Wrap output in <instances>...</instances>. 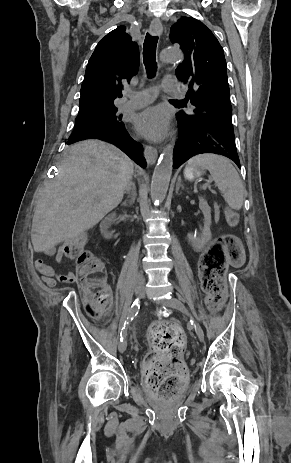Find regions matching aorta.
<instances>
[{"label":"aorta","instance_id":"762f6f07","mask_svg":"<svg viewBox=\"0 0 291 463\" xmlns=\"http://www.w3.org/2000/svg\"><path fill=\"white\" fill-rule=\"evenodd\" d=\"M183 59V53L176 48L167 47L162 50V63H171ZM173 167V146L167 145L157 162L151 181V198L155 202H162L167 194Z\"/></svg>","mask_w":291,"mask_h":463}]
</instances>
